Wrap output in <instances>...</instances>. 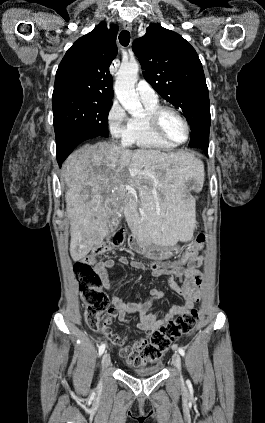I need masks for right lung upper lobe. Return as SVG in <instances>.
Here are the masks:
<instances>
[{"mask_svg": "<svg viewBox=\"0 0 265 423\" xmlns=\"http://www.w3.org/2000/svg\"><path fill=\"white\" fill-rule=\"evenodd\" d=\"M117 25L104 22L79 38L68 49L56 72L53 99L83 97L111 102L112 76L109 66L117 55Z\"/></svg>", "mask_w": 265, "mask_h": 423, "instance_id": "1", "label": "right lung upper lobe"}]
</instances>
